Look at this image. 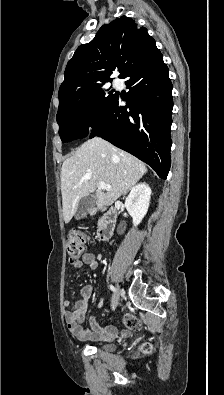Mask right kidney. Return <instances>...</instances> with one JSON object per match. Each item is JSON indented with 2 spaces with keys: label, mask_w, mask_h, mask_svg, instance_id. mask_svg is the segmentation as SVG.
<instances>
[{
  "label": "right kidney",
  "mask_w": 224,
  "mask_h": 395,
  "mask_svg": "<svg viewBox=\"0 0 224 395\" xmlns=\"http://www.w3.org/2000/svg\"><path fill=\"white\" fill-rule=\"evenodd\" d=\"M151 198V189L146 183L134 186L125 200V207L133 218V225L141 223L146 215Z\"/></svg>",
  "instance_id": "1"
}]
</instances>
